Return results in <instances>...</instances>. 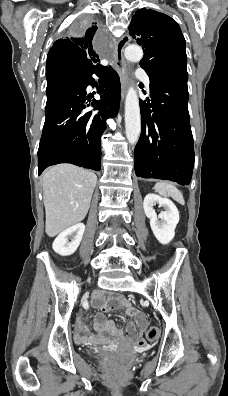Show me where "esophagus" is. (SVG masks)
<instances>
[{"mask_svg":"<svg viewBox=\"0 0 228 396\" xmlns=\"http://www.w3.org/2000/svg\"><path fill=\"white\" fill-rule=\"evenodd\" d=\"M129 42L128 36H123L117 42L115 47V68L119 74L121 88H122V98H124L126 89L129 84V73L126 61L123 56L124 48Z\"/></svg>","mask_w":228,"mask_h":396,"instance_id":"34e87169","label":"esophagus"}]
</instances>
